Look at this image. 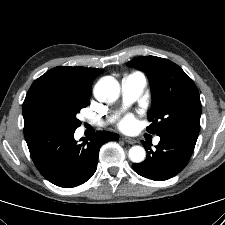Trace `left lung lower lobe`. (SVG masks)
<instances>
[{"instance_id":"1","label":"left lung lower lobe","mask_w":225,"mask_h":225,"mask_svg":"<svg viewBox=\"0 0 225 225\" xmlns=\"http://www.w3.org/2000/svg\"><path fill=\"white\" fill-rule=\"evenodd\" d=\"M156 151L143 142L147 151L144 162L133 164V170L146 178L164 181L174 177L187 165L196 142L171 134L160 135Z\"/></svg>"}]
</instances>
